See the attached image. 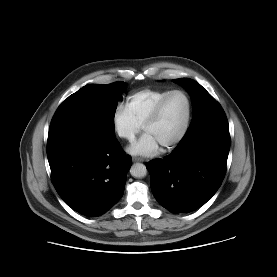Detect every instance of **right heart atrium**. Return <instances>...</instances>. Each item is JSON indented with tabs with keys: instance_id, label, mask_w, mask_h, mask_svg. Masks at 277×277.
Segmentation results:
<instances>
[{
	"instance_id": "right-heart-atrium-1",
	"label": "right heart atrium",
	"mask_w": 277,
	"mask_h": 277,
	"mask_svg": "<svg viewBox=\"0 0 277 277\" xmlns=\"http://www.w3.org/2000/svg\"><path fill=\"white\" fill-rule=\"evenodd\" d=\"M112 124L115 133L127 141H133L142 129V126L135 121L127 107L122 104L114 110Z\"/></svg>"
}]
</instances>
